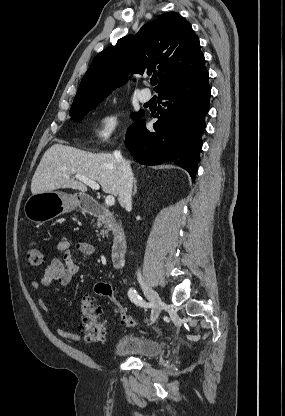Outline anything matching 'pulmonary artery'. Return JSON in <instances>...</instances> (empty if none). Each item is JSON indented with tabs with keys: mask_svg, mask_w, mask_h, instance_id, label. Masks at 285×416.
I'll list each match as a JSON object with an SVG mask.
<instances>
[{
	"mask_svg": "<svg viewBox=\"0 0 285 416\" xmlns=\"http://www.w3.org/2000/svg\"><path fill=\"white\" fill-rule=\"evenodd\" d=\"M138 99L142 102V103H147L151 100L152 95L150 93V91L148 90L147 87H140L138 90Z\"/></svg>",
	"mask_w": 285,
	"mask_h": 416,
	"instance_id": "pulmonary-artery-1",
	"label": "pulmonary artery"
}]
</instances>
